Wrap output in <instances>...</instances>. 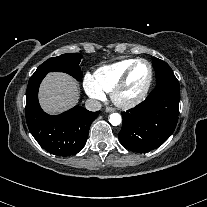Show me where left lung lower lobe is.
Here are the masks:
<instances>
[{"label": "left lung lower lobe", "mask_w": 207, "mask_h": 207, "mask_svg": "<svg viewBox=\"0 0 207 207\" xmlns=\"http://www.w3.org/2000/svg\"><path fill=\"white\" fill-rule=\"evenodd\" d=\"M178 80L158 84L135 108L122 112L119 140L127 149L146 153L163 144L174 132L179 114Z\"/></svg>", "instance_id": "obj_1"}]
</instances>
